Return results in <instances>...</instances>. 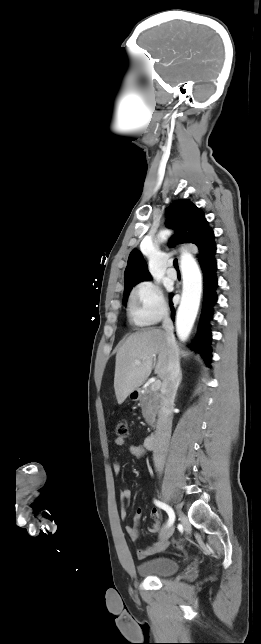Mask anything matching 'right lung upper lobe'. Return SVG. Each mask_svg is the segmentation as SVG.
<instances>
[{
    "label": "right lung upper lobe",
    "instance_id": "cb5924a9",
    "mask_svg": "<svg viewBox=\"0 0 261 644\" xmlns=\"http://www.w3.org/2000/svg\"><path fill=\"white\" fill-rule=\"evenodd\" d=\"M166 226L176 231L170 245L193 243L199 249V262L213 258L216 252L213 230L208 226L204 213L186 199L174 201L167 210ZM151 278L142 254L133 249L125 270V289Z\"/></svg>",
    "mask_w": 261,
    "mask_h": 644
}]
</instances>
